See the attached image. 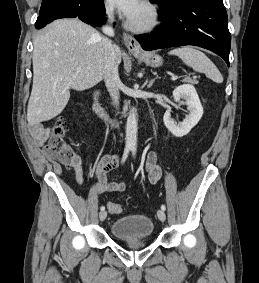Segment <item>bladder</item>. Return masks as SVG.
<instances>
[{
    "mask_svg": "<svg viewBox=\"0 0 259 283\" xmlns=\"http://www.w3.org/2000/svg\"><path fill=\"white\" fill-rule=\"evenodd\" d=\"M153 222L144 215H129L119 218L111 225V234L119 239H143L152 235Z\"/></svg>",
    "mask_w": 259,
    "mask_h": 283,
    "instance_id": "1",
    "label": "bladder"
}]
</instances>
